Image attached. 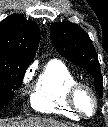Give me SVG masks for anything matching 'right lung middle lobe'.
<instances>
[{
  "instance_id": "obj_1",
  "label": "right lung middle lobe",
  "mask_w": 108,
  "mask_h": 127,
  "mask_svg": "<svg viewBox=\"0 0 108 127\" xmlns=\"http://www.w3.org/2000/svg\"><path fill=\"white\" fill-rule=\"evenodd\" d=\"M29 64L0 56V107L9 102L23 80Z\"/></svg>"
}]
</instances>
